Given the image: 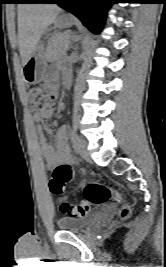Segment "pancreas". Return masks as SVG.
<instances>
[{
    "mask_svg": "<svg viewBox=\"0 0 166 267\" xmlns=\"http://www.w3.org/2000/svg\"><path fill=\"white\" fill-rule=\"evenodd\" d=\"M68 37L62 33H55L48 41L45 57L48 61L57 58L68 47Z\"/></svg>",
    "mask_w": 166,
    "mask_h": 267,
    "instance_id": "obj_1",
    "label": "pancreas"
}]
</instances>
